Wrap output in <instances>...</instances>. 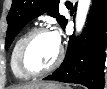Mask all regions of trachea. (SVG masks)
<instances>
[{
    "label": "trachea",
    "instance_id": "1",
    "mask_svg": "<svg viewBox=\"0 0 107 89\" xmlns=\"http://www.w3.org/2000/svg\"><path fill=\"white\" fill-rule=\"evenodd\" d=\"M66 5H67V6H72V4H71L70 2H68Z\"/></svg>",
    "mask_w": 107,
    "mask_h": 89
}]
</instances>
